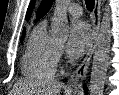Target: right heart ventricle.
I'll return each mask as SVG.
<instances>
[{
    "mask_svg": "<svg viewBox=\"0 0 119 95\" xmlns=\"http://www.w3.org/2000/svg\"><path fill=\"white\" fill-rule=\"evenodd\" d=\"M58 63V43L46 32V21L32 31L22 58V72L28 77L54 76Z\"/></svg>",
    "mask_w": 119,
    "mask_h": 95,
    "instance_id": "obj_1",
    "label": "right heart ventricle"
}]
</instances>
